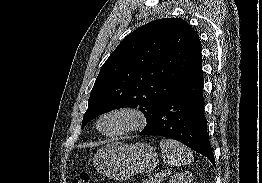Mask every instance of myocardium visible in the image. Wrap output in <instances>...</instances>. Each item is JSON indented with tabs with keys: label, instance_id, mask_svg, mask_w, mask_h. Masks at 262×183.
Masks as SVG:
<instances>
[{
	"label": "myocardium",
	"instance_id": "obj_1",
	"mask_svg": "<svg viewBox=\"0 0 262 183\" xmlns=\"http://www.w3.org/2000/svg\"><path fill=\"white\" fill-rule=\"evenodd\" d=\"M114 113L128 114L131 117L130 125L120 131L113 132V133H106L102 131L101 122L103 118L106 117L107 115L114 114ZM146 123H147V116L141 108L133 105H119V106L108 108L105 111H103L97 119L96 128L102 135L109 138H114L141 130L142 128L145 127Z\"/></svg>",
	"mask_w": 262,
	"mask_h": 183
}]
</instances>
